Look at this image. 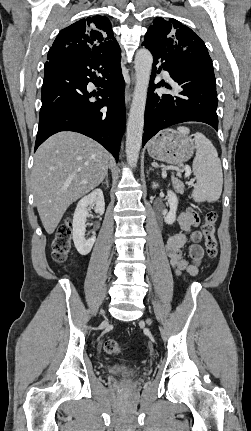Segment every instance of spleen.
Masks as SVG:
<instances>
[{"mask_svg": "<svg viewBox=\"0 0 251 431\" xmlns=\"http://www.w3.org/2000/svg\"><path fill=\"white\" fill-rule=\"evenodd\" d=\"M181 134H188L187 127H178ZM196 156L193 160V173L196 184L192 191V198L195 202L217 201L222 193L223 173L221 161L216 148L212 142L202 133H195Z\"/></svg>", "mask_w": 251, "mask_h": 431, "instance_id": "obj_1", "label": "spleen"}]
</instances>
